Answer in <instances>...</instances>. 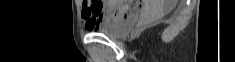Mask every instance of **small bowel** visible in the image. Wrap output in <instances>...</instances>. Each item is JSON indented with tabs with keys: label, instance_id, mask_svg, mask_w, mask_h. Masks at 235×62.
Listing matches in <instances>:
<instances>
[{
	"label": "small bowel",
	"instance_id": "obj_1",
	"mask_svg": "<svg viewBox=\"0 0 235 62\" xmlns=\"http://www.w3.org/2000/svg\"><path fill=\"white\" fill-rule=\"evenodd\" d=\"M113 2H106L101 8L96 9L89 2L82 3V18L87 30L97 29L102 22H112ZM126 5L130 8L137 6L135 2H128Z\"/></svg>",
	"mask_w": 235,
	"mask_h": 62
}]
</instances>
